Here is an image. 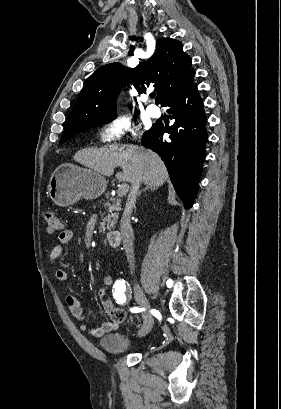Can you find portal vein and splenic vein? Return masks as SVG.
I'll return each instance as SVG.
<instances>
[{"label": "portal vein and splenic vein", "instance_id": "18ae733b", "mask_svg": "<svg viewBox=\"0 0 281 409\" xmlns=\"http://www.w3.org/2000/svg\"><path fill=\"white\" fill-rule=\"evenodd\" d=\"M131 187V182L129 180H124L122 182V186H119L118 188V194L122 197L126 196L128 194V191L126 189H129Z\"/></svg>", "mask_w": 281, "mask_h": 409}]
</instances>
